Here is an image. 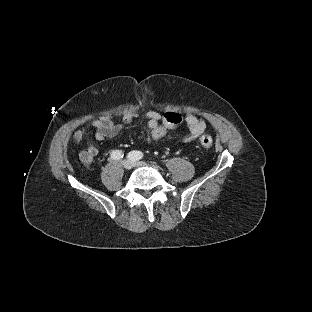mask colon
I'll list each match as a JSON object with an SVG mask.
<instances>
[{
    "label": "colon",
    "mask_w": 312,
    "mask_h": 312,
    "mask_svg": "<svg viewBox=\"0 0 312 312\" xmlns=\"http://www.w3.org/2000/svg\"><path fill=\"white\" fill-rule=\"evenodd\" d=\"M164 122L167 126L174 127L178 124L179 117L176 113L169 112L165 115ZM165 133H166L165 128L162 126H158L155 128V130L152 131L151 136L154 139H160L165 135ZM200 144L204 148H211L213 145V140L210 136L203 135L200 139Z\"/></svg>",
    "instance_id": "obj_1"
}]
</instances>
